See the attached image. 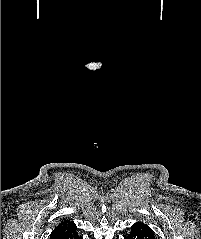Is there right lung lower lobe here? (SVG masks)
I'll return each instance as SVG.
<instances>
[{
	"mask_svg": "<svg viewBox=\"0 0 201 239\" xmlns=\"http://www.w3.org/2000/svg\"><path fill=\"white\" fill-rule=\"evenodd\" d=\"M76 239H81L79 236L75 237Z\"/></svg>",
	"mask_w": 201,
	"mask_h": 239,
	"instance_id": "1",
	"label": "right lung lower lobe"
}]
</instances>
